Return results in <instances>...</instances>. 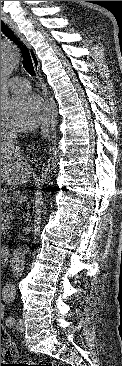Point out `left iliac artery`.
Here are the masks:
<instances>
[{"label": "left iliac artery", "mask_w": 122, "mask_h": 366, "mask_svg": "<svg viewBox=\"0 0 122 366\" xmlns=\"http://www.w3.org/2000/svg\"><path fill=\"white\" fill-rule=\"evenodd\" d=\"M6 301L8 303L12 302L13 299L11 297H7L6 298ZM6 324L9 325V326H13L15 324V318L14 317H11L9 316L7 319H6Z\"/></svg>", "instance_id": "left-iliac-artery-1"}]
</instances>
